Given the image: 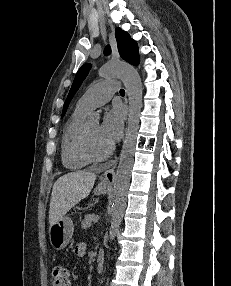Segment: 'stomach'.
I'll use <instances>...</instances> for the list:
<instances>
[{
	"label": "stomach",
	"mask_w": 231,
	"mask_h": 286,
	"mask_svg": "<svg viewBox=\"0 0 231 286\" xmlns=\"http://www.w3.org/2000/svg\"><path fill=\"white\" fill-rule=\"evenodd\" d=\"M110 190L109 186L99 184L95 190V194H105ZM74 231L73 221L68 216H63L59 221L50 225L49 240L52 247L56 250L64 249L70 242Z\"/></svg>",
	"instance_id": "1"
}]
</instances>
